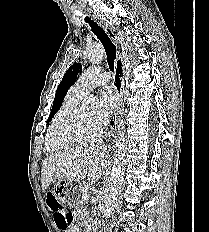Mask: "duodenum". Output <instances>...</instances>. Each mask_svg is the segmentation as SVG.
I'll use <instances>...</instances> for the list:
<instances>
[{
    "instance_id": "duodenum-1",
    "label": "duodenum",
    "mask_w": 209,
    "mask_h": 232,
    "mask_svg": "<svg viewBox=\"0 0 209 232\" xmlns=\"http://www.w3.org/2000/svg\"><path fill=\"white\" fill-rule=\"evenodd\" d=\"M91 232H98L97 226L94 223L91 225Z\"/></svg>"
}]
</instances>
